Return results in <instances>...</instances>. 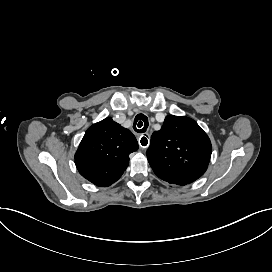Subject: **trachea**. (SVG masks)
Instances as JSON below:
<instances>
[{
    "instance_id": "3493384b",
    "label": "trachea",
    "mask_w": 272,
    "mask_h": 272,
    "mask_svg": "<svg viewBox=\"0 0 272 272\" xmlns=\"http://www.w3.org/2000/svg\"><path fill=\"white\" fill-rule=\"evenodd\" d=\"M133 128L138 133H144L148 128V119L144 114H139L134 119Z\"/></svg>"
}]
</instances>
